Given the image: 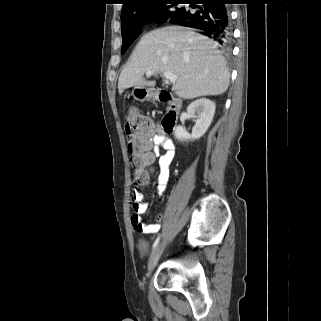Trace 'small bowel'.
Here are the masks:
<instances>
[{"label": "small bowel", "mask_w": 321, "mask_h": 321, "mask_svg": "<svg viewBox=\"0 0 321 321\" xmlns=\"http://www.w3.org/2000/svg\"><path fill=\"white\" fill-rule=\"evenodd\" d=\"M147 144L150 147V153L147 159V164H151L157 157L154 147H161L164 149V153L158 156V195L161 196L167 189L170 178V166L175 156V145L173 141L166 136L161 130L152 126L151 134L147 138ZM148 183V178L142 181V185ZM132 206L134 213L130 220L133 228L144 234H153L159 231L160 223L145 224L141 221L140 215L145 213L148 209V203L141 196V191L135 189L132 197ZM158 219H162V215L158 216Z\"/></svg>", "instance_id": "c3829d8e"}]
</instances>
